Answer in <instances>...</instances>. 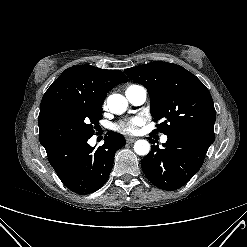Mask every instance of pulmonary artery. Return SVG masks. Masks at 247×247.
<instances>
[{
  "label": "pulmonary artery",
  "instance_id": "e3ab8cb5",
  "mask_svg": "<svg viewBox=\"0 0 247 247\" xmlns=\"http://www.w3.org/2000/svg\"><path fill=\"white\" fill-rule=\"evenodd\" d=\"M126 98L133 105H142L147 99V90L142 85H130L125 91ZM161 141L165 143L167 136L163 135Z\"/></svg>",
  "mask_w": 247,
  "mask_h": 247
}]
</instances>
